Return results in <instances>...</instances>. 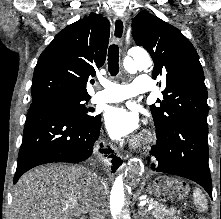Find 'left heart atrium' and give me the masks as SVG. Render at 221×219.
Instances as JSON below:
<instances>
[{"label":"left heart atrium","instance_id":"1","mask_svg":"<svg viewBox=\"0 0 221 219\" xmlns=\"http://www.w3.org/2000/svg\"><path fill=\"white\" fill-rule=\"evenodd\" d=\"M105 124L112 138L122 139L138 130L139 117L134 110L124 106L111 107L105 114Z\"/></svg>","mask_w":221,"mask_h":219}]
</instances>
